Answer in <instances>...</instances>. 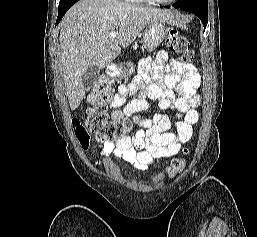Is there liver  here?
Instances as JSON below:
<instances>
[{"label": "liver", "mask_w": 257, "mask_h": 237, "mask_svg": "<svg viewBox=\"0 0 257 237\" xmlns=\"http://www.w3.org/2000/svg\"><path fill=\"white\" fill-rule=\"evenodd\" d=\"M154 20L178 24L177 15L160 9L131 5L118 0H80L63 17L60 29L63 79L70 108L85 96L82 76L95 65L103 69L128 47ZM117 32L112 40L109 33Z\"/></svg>", "instance_id": "6515ba94"}]
</instances>
